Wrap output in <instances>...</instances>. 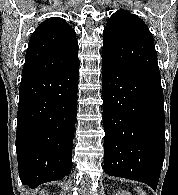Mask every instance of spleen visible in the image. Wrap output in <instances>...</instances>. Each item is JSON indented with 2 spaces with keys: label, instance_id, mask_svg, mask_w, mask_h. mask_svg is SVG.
Segmentation results:
<instances>
[{
  "label": "spleen",
  "instance_id": "spleen-1",
  "mask_svg": "<svg viewBox=\"0 0 178 195\" xmlns=\"http://www.w3.org/2000/svg\"><path fill=\"white\" fill-rule=\"evenodd\" d=\"M136 191L139 195H146L145 191H143L141 188H137Z\"/></svg>",
  "mask_w": 178,
  "mask_h": 195
}]
</instances>
